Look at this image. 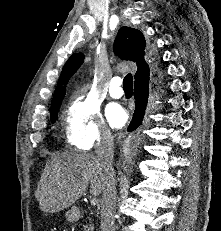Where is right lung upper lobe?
Returning a JSON list of instances; mask_svg holds the SVG:
<instances>
[{
	"label": "right lung upper lobe",
	"instance_id": "right-lung-upper-lobe-1",
	"mask_svg": "<svg viewBox=\"0 0 221 231\" xmlns=\"http://www.w3.org/2000/svg\"><path fill=\"white\" fill-rule=\"evenodd\" d=\"M145 46L146 42L143 34L134 28H120L114 42V52L120 58L133 61L137 64V72L135 74L134 84H139L149 80V65L145 61ZM84 55L82 53H74L64 65L58 85L56 87L52 106H56L62 102L65 95V87L70 77L76 72L79 66L83 63Z\"/></svg>",
	"mask_w": 221,
	"mask_h": 231
}]
</instances>
